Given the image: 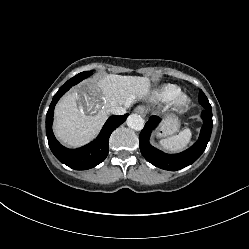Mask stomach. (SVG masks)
I'll return each instance as SVG.
<instances>
[{"label": "stomach", "instance_id": "obj_1", "mask_svg": "<svg viewBox=\"0 0 249 249\" xmlns=\"http://www.w3.org/2000/svg\"><path fill=\"white\" fill-rule=\"evenodd\" d=\"M180 122L175 115L167 116L156 131L158 137H168L179 131Z\"/></svg>", "mask_w": 249, "mask_h": 249}]
</instances>
